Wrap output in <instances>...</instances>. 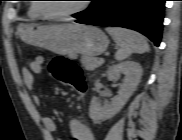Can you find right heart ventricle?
<instances>
[{"mask_svg": "<svg viewBox=\"0 0 182 140\" xmlns=\"http://www.w3.org/2000/svg\"><path fill=\"white\" fill-rule=\"evenodd\" d=\"M34 7H35V5H31V6H30V8H29V13H30L31 16L36 17V16H38V14L36 13Z\"/></svg>", "mask_w": 182, "mask_h": 140, "instance_id": "e07e8e85", "label": "right heart ventricle"}]
</instances>
